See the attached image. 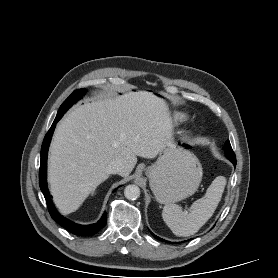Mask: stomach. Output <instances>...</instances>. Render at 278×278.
<instances>
[{
  "mask_svg": "<svg viewBox=\"0 0 278 278\" xmlns=\"http://www.w3.org/2000/svg\"><path fill=\"white\" fill-rule=\"evenodd\" d=\"M151 190L161 204H171L193 195L202 180L198 158L185 146L168 141L157 161L146 169Z\"/></svg>",
  "mask_w": 278,
  "mask_h": 278,
  "instance_id": "0dacf381",
  "label": "stomach"
}]
</instances>
